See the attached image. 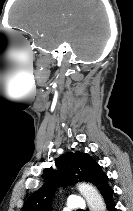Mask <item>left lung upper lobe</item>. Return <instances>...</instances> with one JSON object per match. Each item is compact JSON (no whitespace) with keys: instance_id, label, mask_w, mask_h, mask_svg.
<instances>
[{"instance_id":"1","label":"left lung upper lobe","mask_w":133,"mask_h":211,"mask_svg":"<svg viewBox=\"0 0 133 211\" xmlns=\"http://www.w3.org/2000/svg\"><path fill=\"white\" fill-rule=\"evenodd\" d=\"M55 164L56 169H46L47 181L26 200L22 211H50L57 187L72 185L78 180L92 183L100 193L109 187V179L101 166L87 153H65Z\"/></svg>"}]
</instances>
